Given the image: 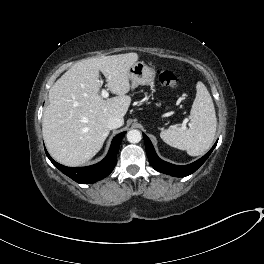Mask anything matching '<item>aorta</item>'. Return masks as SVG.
I'll return each mask as SVG.
<instances>
[{"label":"aorta","mask_w":264,"mask_h":264,"mask_svg":"<svg viewBox=\"0 0 264 264\" xmlns=\"http://www.w3.org/2000/svg\"><path fill=\"white\" fill-rule=\"evenodd\" d=\"M142 139V134L139 130L133 129L128 131L127 133V140L130 143H138Z\"/></svg>","instance_id":"aorta-1"}]
</instances>
